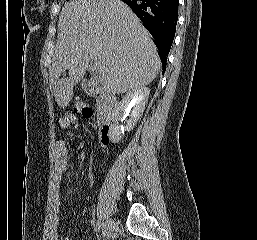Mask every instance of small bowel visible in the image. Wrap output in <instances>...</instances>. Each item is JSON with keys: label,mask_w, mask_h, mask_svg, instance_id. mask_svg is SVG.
<instances>
[{"label": "small bowel", "mask_w": 257, "mask_h": 240, "mask_svg": "<svg viewBox=\"0 0 257 240\" xmlns=\"http://www.w3.org/2000/svg\"><path fill=\"white\" fill-rule=\"evenodd\" d=\"M54 152V192L50 216V240H70L61 238L58 232L59 226V186L62 175L68 171V147L65 139L59 138L53 146Z\"/></svg>", "instance_id": "c3829d8e"}]
</instances>
